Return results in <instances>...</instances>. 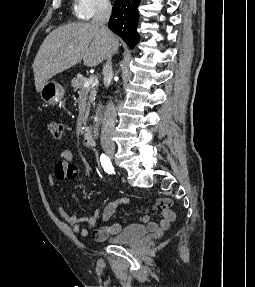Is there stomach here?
Segmentation results:
<instances>
[{
    "label": "stomach",
    "instance_id": "0dacf381",
    "mask_svg": "<svg viewBox=\"0 0 255 287\" xmlns=\"http://www.w3.org/2000/svg\"><path fill=\"white\" fill-rule=\"evenodd\" d=\"M65 90L57 84V82H46L43 88L40 90V96L43 102H46L48 106H56L60 100L64 98Z\"/></svg>",
    "mask_w": 255,
    "mask_h": 287
}]
</instances>
